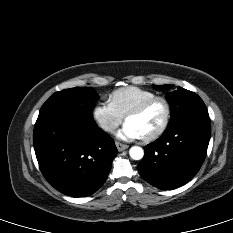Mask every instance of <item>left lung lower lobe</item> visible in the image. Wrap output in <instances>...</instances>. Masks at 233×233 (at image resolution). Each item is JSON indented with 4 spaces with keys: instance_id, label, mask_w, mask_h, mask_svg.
Returning a JSON list of instances; mask_svg holds the SVG:
<instances>
[{
    "instance_id": "obj_1",
    "label": "left lung lower lobe",
    "mask_w": 233,
    "mask_h": 233,
    "mask_svg": "<svg viewBox=\"0 0 233 233\" xmlns=\"http://www.w3.org/2000/svg\"><path fill=\"white\" fill-rule=\"evenodd\" d=\"M210 135L209 117H192L169 126L160 138L145 147L138 165L140 175L163 190L184 185L203 164Z\"/></svg>"
}]
</instances>
